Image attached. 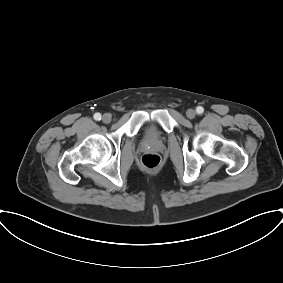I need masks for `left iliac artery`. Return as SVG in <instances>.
<instances>
[{
	"label": "left iliac artery",
	"instance_id": "1",
	"mask_svg": "<svg viewBox=\"0 0 283 283\" xmlns=\"http://www.w3.org/2000/svg\"><path fill=\"white\" fill-rule=\"evenodd\" d=\"M196 111H197L198 114H202L204 112V108L202 106H198L196 108Z\"/></svg>",
	"mask_w": 283,
	"mask_h": 283
}]
</instances>
